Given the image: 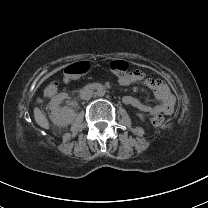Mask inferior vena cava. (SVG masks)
Returning <instances> with one entry per match:
<instances>
[{
    "mask_svg": "<svg viewBox=\"0 0 208 208\" xmlns=\"http://www.w3.org/2000/svg\"><path fill=\"white\" fill-rule=\"evenodd\" d=\"M92 95H93V91L90 88L84 87L80 91V98L83 99V100L91 99Z\"/></svg>",
    "mask_w": 208,
    "mask_h": 208,
    "instance_id": "inferior-vena-cava-1",
    "label": "inferior vena cava"
}]
</instances>
